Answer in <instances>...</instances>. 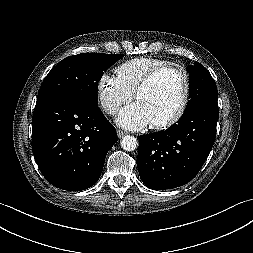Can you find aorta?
<instances>
[{"label": "aorta", "instance_id": "762f6f07", "mask_svg": "<svg viewBox=\"0 0 253 253\" xmlns=\"http://www.w3.org/2000/svg\"><path fill=\"white\" fill-rule=\"evenodd\" d=\"M138 146L137 139L134 136L126 135L122 138L121 147L125 151H134Z\"/></svg>", "mask_w": 253, "mask_h": 253}]
</instances>
